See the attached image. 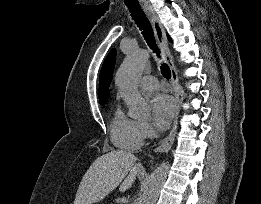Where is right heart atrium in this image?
Listing matches in <instances>:
<instances>
[{
  "mask_svg": "<svg viewBox=\"0 0 261 204\" xmlns=\"http://www.w3.org/2000/svg\"><path fill=\"white\" fill-rule=\"evenodd\" d=\"M140 136L142 141L147 140L152 136V129L148 123L146 122L140 123Z\"/></svg>",
  "mask_w": 261,
  "mask_h": 204,
  "instance_id": "obj_1",
  "label": "right heart atrium"
}]
</instances>
